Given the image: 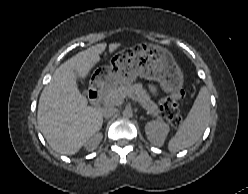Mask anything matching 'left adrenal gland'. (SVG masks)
<instances>
[{
    "mask_svg": "<svg viewBox=\"0 0 248 194\" xmlns=\"http://www.w3.org/2000/svg\"><path fill=\"white\" fill-rule=\"evenodd\" d=\"M140 119H144V117H143V116H141V117H140Z\"/></svg>",
    "mask_w": 248,
    "mask_h": 194,
    "instance_id": "obj_1",
    "label": "left adrenal gland"
}]
</instances>
